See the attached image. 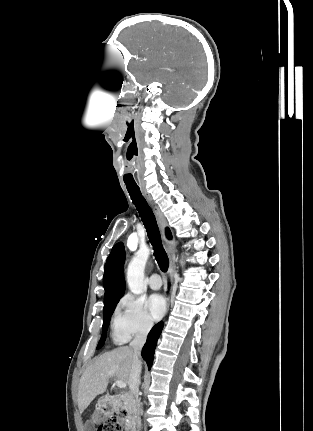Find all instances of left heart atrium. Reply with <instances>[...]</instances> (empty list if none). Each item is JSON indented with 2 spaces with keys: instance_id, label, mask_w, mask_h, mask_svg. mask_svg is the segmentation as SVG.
<instances>
[{
  "instance_id": "obj_1",
  "label": "left heart atrium",
  "mask_w": 313,
  "mask_h": 431,
  "mask_svg": "<svg viewBox=\"0 0 313 431\" xmlns=\"http://www.w3.org/2000/svg\"><path fill=\"white\" fill-rule=\"evenodd\" d=\"M147 306L153 319H160L166 311V301L163 296L153 294L147 301Z\"/></svg>"
}]
</instances>
